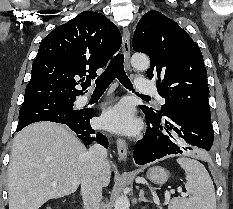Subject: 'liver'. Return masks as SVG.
I'll return each mask as SVG.
<instances>
[{"instance_id": "6515ba94", "label": "liver", "mask_w": 233, "mask_h": 209, "mask_svg": "<svg viewBox=\"0 0 233 209\" xmlns=\"http://www.w3.org/2000/svg\"><path fill=\"white\" fill-rule=\"evenodd\" d=\"M86 153L81 141L62 125L39 122L24 128L15 136L10 155L9 209H39L48 200L73 194L81 183ZM110 176L107 162L103 187Z\"/></svg>"}]
</instances>
